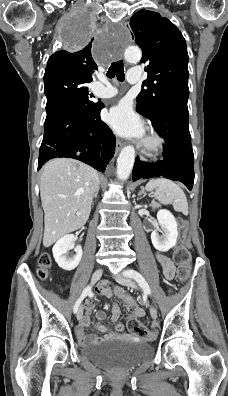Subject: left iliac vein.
I'll use <instances>...</instances> for the list:
<instances>
[{"mask_svg":"<svg viewBox=\"0 0 228 396\" xmlns=\"http://www.w3.org/2000/svg\"><path fill=\"white\" fill-rule=\"evenodd\" d=\"M115 279L118 283H120L122 285L136 288V284L129 277L125 276L124 273H123V275H116ZM150 315L153 320L157 319V310H156L155 306L152 304L150 305Z\"/></svg>","mask_w":228,"mask_h":396,"instance_id":"1","label":"left iliac vein"}]
</instances>
